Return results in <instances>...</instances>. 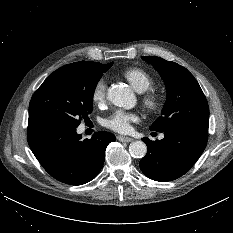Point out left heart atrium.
<instances>
[{
  "instance_id": "1",
  "label": "left heart atrium",
  "mask_w": 233,
  "mask_h": 233,
  "mask_svg": "<svg viewBox=\"0 0 233 233\" xmlns=\"http://www.w3.org/2000/svg\"><path fill=\"white\" fill-rule=\"evenodd\" d=\"M138 119L136 113L116 110L105 120V126L119 133H127L131 130V123Z\"/></svg>"
}]
</instances>
